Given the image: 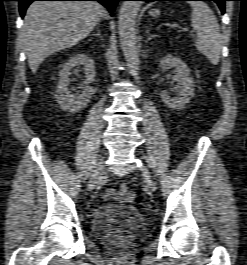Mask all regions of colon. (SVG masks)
<instances>
[{
    "mask_svg": "<svg viewBox=\"0 0 247 265\" xmlns=\"http://www.w3.org/2000/svg\"><path fill=\"white\" fill-rule=\"evenodd\" d=\"M118 191L120 193H127L128 192V186L125 183H122L119 185Z\"/></svg>",
    "mask_w": 247,
    "mask_h": 265,
    "instance_id": "1",
    "label": "colon"
}]
</instances>
